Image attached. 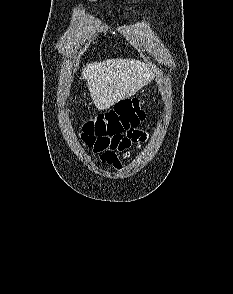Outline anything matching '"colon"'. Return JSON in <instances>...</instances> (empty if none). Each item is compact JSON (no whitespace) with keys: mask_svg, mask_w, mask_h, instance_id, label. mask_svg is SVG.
<instances>
[{"mask_svg":"<svg viewBox=\"0 0 233 294\" xmlns=\"http://www.w3.org/2000/svg\"><path fill=\"white\" fill-rule=\"evenodd\" d=\"M144 118L145 112L140 99L122 100L110 112L87 121L82 126V139L97 150H120L130 138L127 137V132H136L135 127Z\"/></svg>","mask_w":233,"mask_h":294,"instance_id":"5ec220e1","label":"colon"}]
</instances>
